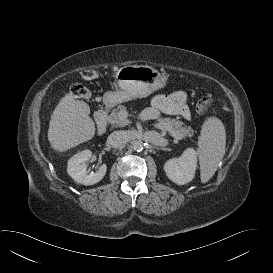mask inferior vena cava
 <instances>
[{"instance_id": "602c4592", "label": "inferior vena cava", "mask_w": 273, "mask_h": 273, "mask_svg": "<svg viewBox=\"0 0 273 273\" xmlns=\"http://www.w3.org/2000/svg\"><path fill=\"white\" fill-rule=\"evenodd\" d=\"M108 144L113 148H119L128 142L126 131H115L108 136Z\"/></svg>"}]
</instances>
